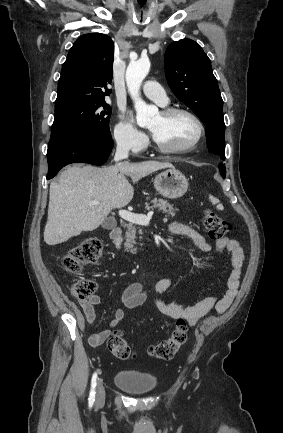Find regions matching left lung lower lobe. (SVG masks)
<instances>
[{"label":"left lung lower lobe","mask_w":283,"mask_h":433,"mask_svg":"<svg viewBox=\"0 0 283 433\" xmlns=\"http://www.w3.org/2000/svg\"><path fill=\"white\" fill-rule=\"evenodd\" d=\"M208 148H209V151H210L211 153L217 154V155L220 156V158H221L222 160H225V148H222V147L219 146L218 144H211V145H208ZM219 170H220L221 176H222L223 178H225V177H226L225 164L220 163V164H219Z\"/></svg>","instance_id":"left-lung-lower-lobe-1"}]
</instances>
